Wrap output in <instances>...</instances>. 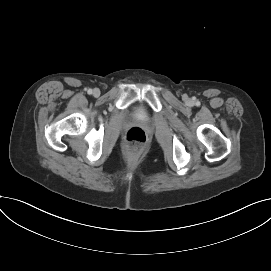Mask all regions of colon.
Returning a JSON list of instances; mask_svg holds the SVG:
<instances>
[{
  "mask_svg": "<svg viewBox=\"0 0 271 271\" xmlns=\"http://www.w3.org/2000/svg\"><path fill=\"white\" fill-rule=\"evenodd\" d=\"M147 143V135L140 127H132L126 133V144L132 153L141 152Z\"/></svg>",
  "mask_w": 271,
  "mask_h": 271,
  "instance_id": "obj_1",
  "label": "colon"
}]
</instances>
